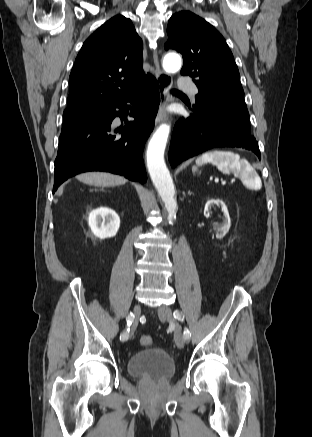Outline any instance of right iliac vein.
<instances>
[{"label":"right iliac vein","mask_w":312,"mask_h":437,"mask_svg":"<svg viewBox=\"0 0 312 437\" xmlns=\"http://www.w3.org/2000/svg\"><path fill=\"white\" fill-rule=\"evenodd\" d=\"M133 313H134V321H133V326H132V330H134L138 324V319L140 317L141 314V307L139 304H136L133 308Z\"/></svg>","instance_id":"obj_1"}]
</instances>
